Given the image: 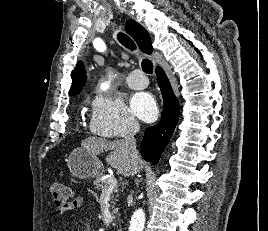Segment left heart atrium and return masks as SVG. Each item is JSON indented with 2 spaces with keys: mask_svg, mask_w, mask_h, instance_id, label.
Returning a JSON list of instances; mask_svg holds the SVG:
<instances>
[{
  "mask_svg": "<svg viewBox=\"0 0 268 231\" xmlns=\"http://www.w3.org/2000/svg\"><path fill=\"white\" fill-rule=\"evenodd\" d=\"M132 112L145 122H152L158 117V108L155 99L145 92L136 93L130 100Z\"/></svg>",
  "mask_w": 268,
  "mask_h": 231,
  "instance_id": "left-heart-atrium-1",
  "label": "left heart atrium"
}]
</instances>
